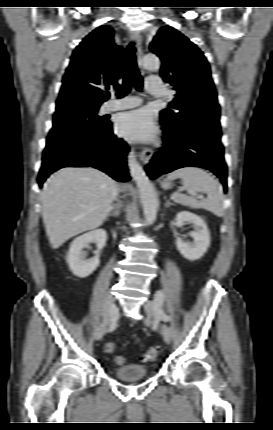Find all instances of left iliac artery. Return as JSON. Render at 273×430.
<instances>
[{"mask_svg":"<svg viewBox=\"0 0 273 430\" xmlns=\"http://www.w3.org/2000/svg\"><path fill=\"white\" fill-rule=\"evenodd\" d=\"M163 301H164L163 293L161 291H157L154 297V302L158 308L159 317L161 320L168 322L171 320V317L163 311L162 309Z\"/></svg>","mask_w":273,"mask_h":430,"instance_id":"left-iliac-artery-1","label":"left iliac artery"}]
</instances>
